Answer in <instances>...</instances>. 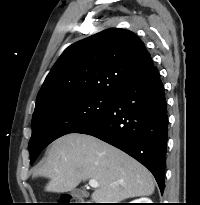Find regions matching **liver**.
<instances>
[{
	"instance_id": "liver-1",
	"label": "liver",
	"mask_w": 200,
	"mask_h": 205,
	"mask_svg": "<svg viewBox=\"0 0 200 205\" xmlns=\"http://www.w3.org/2000/svg\"><path fill=\"white\" fill-rule=\"evenodd\" d=\"M35 176L49 178L47 192L74 190L81 181L95 179V203H119L149 196L155 185L152 174L137 160L93 136L70 133L56 139Z\"/></svg>"
}]
</instances>
